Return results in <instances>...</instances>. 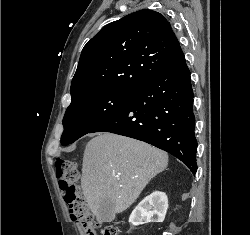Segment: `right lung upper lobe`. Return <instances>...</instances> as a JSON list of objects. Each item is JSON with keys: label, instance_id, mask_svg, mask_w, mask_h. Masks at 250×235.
I'll list each match as a JSON object with an SVG mask.
<instances>
[{"label": "right lung upper lobe", "instance_id": "cb5924a9", "mask_svg": "<svg viewBox=\"0 0 250 235\" xmlns=\"http://www.w3.org/2000/svg\"><path fill=\"white\" fill-rule=\"evenodd\" d=\"M178 45L170 23L153 10L106 25L82 50L72 100L96 90L134 91L169 64Z\"/></svg>", "mask_w": 250, "mask_h": 235}]
</instances>
